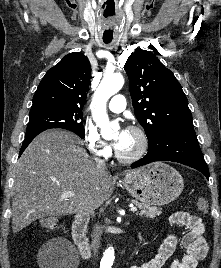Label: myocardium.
<instances>
[{
    "instance_id": "myocardium-1",
    "label": "myocardium",
    "mask_w": 221,
    "mask_h": 268,
    "mask_svg": "<svg viewBox=\"0 0 221 268\" xmlns=\"http://www.w3.org/2000/svg\"><path fill=\"white\" fill-rule=\"evenodd\" d=\"M129 131L135 133L139 137L140 146L137 152L130 156H124L117 151L116 157L122 163H133L140 160L146 154L149 147V138L144 129L138 126H131Z\"/></svg>"
}]
</instances>
